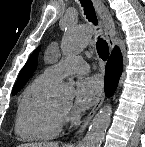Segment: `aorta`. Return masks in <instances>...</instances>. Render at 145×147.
I'll return each mask as SVG.
<instances>
[{
  "label": "aorta",
  "instance_id": "obj_1",
  "mask_svg": "<svg viewBox=\"0 0 145 147\" xmlns=\"http://www.w3.org/2000/svg\"><path fill=\"white\" fill-rule=\"evenodd\" d=\"M92 39L91 30L87 26H68L62 40V51L66 56L81 52ZM69 86L60 85L56 89V95L63 97L67 94ZM112 108L104 106L93 118L89 130L84 138L82 147H100L105 132L111 120Z\"/></svg>",
  "mask_w": 145,
  "mask_h": 147
}]
</instances>
